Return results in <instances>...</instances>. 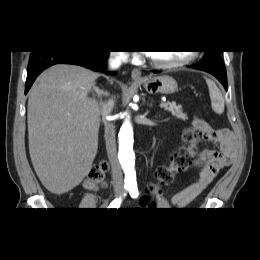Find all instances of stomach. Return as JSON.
I'll return each instance as SVG.
<instances>
[{"label":"stomach","instance_id":"obj_1","mask_svg":"<svg viewBox=\"0 0 260 260\" xmlns=\"http://www.w3.org/2000/svg\"><path fill=\"white\" fill-rule=\"evenodd\" d=\"M140 83L143 84L146 91L150 94L161 93L164 95L173 94L178 89L176 80L169 75H159L148 77Z\"/></svg>","mask_w":260,"mask_h":260}]
</instances>
